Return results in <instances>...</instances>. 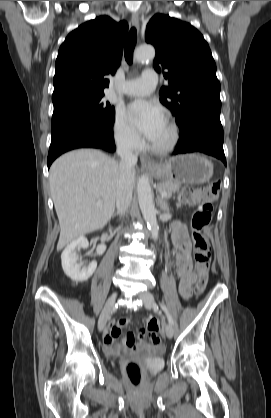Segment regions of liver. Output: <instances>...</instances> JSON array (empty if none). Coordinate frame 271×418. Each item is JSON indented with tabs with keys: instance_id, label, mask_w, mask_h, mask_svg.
Returning <instances> with one entry per match:
<instances>
[{
	"instance_id": "6515ba94",
	"label": "liver",
	"mask_w": 271,
	"mask_h": 418,
	"mask_svg": "<svg viewBox=\"0 0 271 418\" xmlns=\"http://www.w3.org/2000/svg\"><path fill=\"white\" fill-rule=\"evenodd\" d=\"M120 164L96 149H79L59 157L49 184L60 224L57 250L106 225L115 211ZM136 171L131 174V186ZM97 198L102 205H97Z\"/></svg>"
}]
</instances>
